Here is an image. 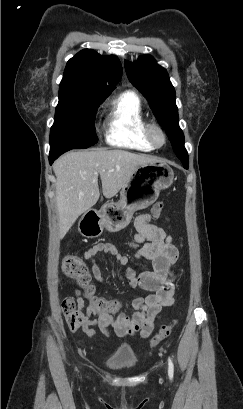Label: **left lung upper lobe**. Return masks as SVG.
I'll list each match as a JSON object with an SVG mask.
<instances>
[{
	"label": "left lung upper lobe",
	"mask_w": 243,
	"mask_h": 409,
	"mask_svg": "<svg viewBox=\"0 0 243 409\" xmlns=\"http://www.w3.org/2000/svg\"><path fill=\"white\" fill-rule=\"evenodd\" d=\"M130 82L146 97L155 117L165 129L176 156L188 166V154L184 147V135L179 127L175 89L167 71L152 56L139 58L138 63L125 61Z\"/></svg>",
	"instance_id": "obj_1"
}]
</instances>
